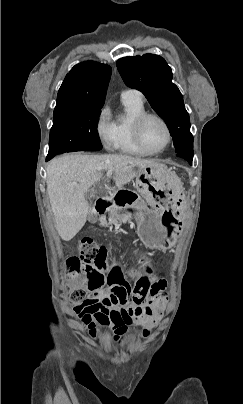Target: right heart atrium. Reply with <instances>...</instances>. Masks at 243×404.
I'll return each mask as SVG.
<instances>
[{"mask_svg":"<svg viewBox=\"0 0 243 404\" xmlns=\"http://www.w3.org/2000/svg\"><path fill=\"white\" fill-rule=\"evenodd\" d=\"M94 129L102 149L110 153L115 152L117 150L116 131L108 106H102L97 112Z\"/></svg>","mask_w":243,"mask_h":404,"instance_id":"right-heart-atrium-1","label":"right heart atrium"}]
</instances>
